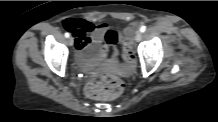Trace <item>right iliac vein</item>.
I'll list each match as a JSON object with an SVG mask.
<instances>
[{
    "instance_id": "1",
    "label": "right iliac vein",
    "mask_w": 218,
    "mask_h": 122,
    "mask_svg": "<svg viewBox=\"0 0 218 122\" xmlns=\"http://www.w3.org/2000/svg\"><path fill=\"white\" fill-rule=\"evenodd\" d=\"M73 43H74L73 37H69V38H68V44H69V46H72Z\"/></svg>"
}]
</instances>
